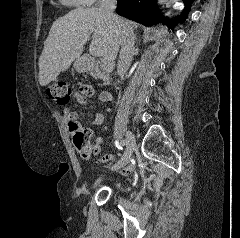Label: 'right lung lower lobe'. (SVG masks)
<instances>
[{
  "label": "right lung lower lobe",
  "mask_w": 240,
  "mask_h": 238,
  "mask_svg": "<svg viewBox=\"0 0 240 238\" xmlns=\"http://www.w3.org/2000/svg\"><path fill=\"white\" fill-rule=\"evenodd\" d=\"M190 2H192V0H184L186 4L185 10L187 11ZM117 3L116 12L123 17L144 25L162 22L167 23L169 27L173 26V24L166 21L160 14L156 0H118ZM186 16L187 12H184L179 20H185Z\"/></svg>",
  "instance_id": "right-lung-lower-lobe-1"
}]
</instances>
